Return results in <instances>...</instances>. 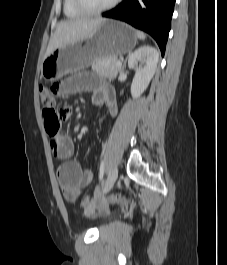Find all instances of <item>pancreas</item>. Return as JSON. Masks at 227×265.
<instances>
[{"label": "pancreas", "mask_w": 227, "mask_h": 265, "mask_svg": "<svg viewBox=\"0 0 227 265\" xmlns=\"http://www.w3.org/2000/svg\"><path fill=\"white\" fill-rule=\"evenodd\" d=\"M117 62L116 58L99 59L92 63V70L98 75L114 79L120 70Z\"/></svg>", "instance_id": "obj_1"}]
</instances>
